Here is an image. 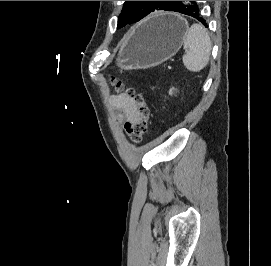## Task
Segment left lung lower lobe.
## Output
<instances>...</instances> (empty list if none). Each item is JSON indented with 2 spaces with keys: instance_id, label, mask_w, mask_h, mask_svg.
Listing matches in <instances>:
<instances>
[{
  "instance_id": "1",
  "label": "left lung lower lobe",
  "mask_w": 271,
  "mask_h": 266,
  "mask_svg": "<svg viewBox=\"0 0 271 266\" xmlns=\"http://www.w3.org/2000/svg\"><path fill=\"white\" fill-rule=\"evenodd\" d=\"M168 11H176L192 16L207 27L206 20L200 14V8L196 1H176Z\"/></svg>"
}]
</instances>
